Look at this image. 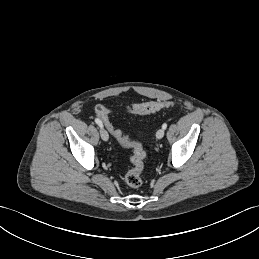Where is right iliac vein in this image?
<instances>
[{"label": "right iliac vein", "instance_id": "63e3f726", "mask_svg": "<svg viewBox=\"0 0 259 259\" xmlns=\"http://www.w3.org/2000/svg\"><path fill=\"white\" fill-rule=\"evenodd\" d=\"M100 135H101V138L104 141H108L109 135H108V132L105 129H103V128L100 129Z\"/></svg>", "mask_w": 259, "mask_h": 259}]
</instances>
